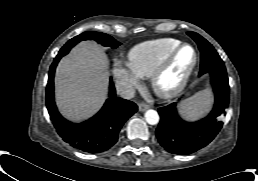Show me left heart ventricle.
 Returning <instances> with one entry per match:
<instances>
[{"mask_svg": "<svg viewBox=\"0 0 258 181\" xmlns=\"http://www.w3.org/2000/svg\"><path fill=\"white\" fill-rule=\"evenodd\" d=\"M193 57V51L190 48H183L178 54L173 67L165 74L162 84L166 87L174 85L184 70L192 63Z\"/></svg>", "mask_w": 258, "mask_h": 181, "instance_id": "1", "label": "left heart ventricle"}]
</instances>
